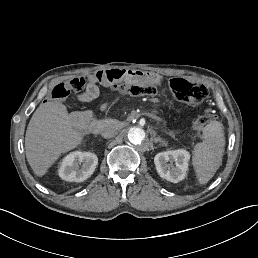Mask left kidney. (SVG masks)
Listing matches in <instances>:
<instances>
[{
  "mask_svg": "<svg viewBox=\"0 0 258 258\" xmlns=\"http://www.w3.org/2000/svg\"><path fill=\"white\" fill-rule=\"evenodd\" d=\"M190 153L184 149L169 150L156 154L154 163L160 177L178 183L186 177ZM169 161L175 162V167L168 164Z\"/></svg>",
  "mask_w": 258,
  "mask_h": 258,
  "instance_id": "1",
  "label": "left kidney"
}]
</instances>
